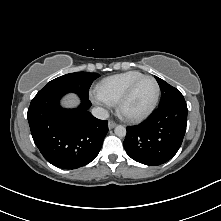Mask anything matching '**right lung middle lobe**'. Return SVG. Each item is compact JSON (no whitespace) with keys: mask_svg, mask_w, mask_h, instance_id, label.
Masks as SVG:
<instances>
[{"mask_svg":"<svg viewBox=\"0 0 221 221\" xmlns=\"http://www.w3.org/2000/svg\"><path fill=\"white\" fill-rule=\"evenodd\" d=\"M100 75L89 72H75L60 76L47 83L32 99V101L54 95H64L74 92L80 97L88 98L92 82Z\"/></svg>","mask_w":221,"mask_h":221,"instance_id":"obj_1","label":"right lung middle lobe"}]
</instances>
